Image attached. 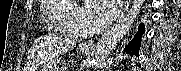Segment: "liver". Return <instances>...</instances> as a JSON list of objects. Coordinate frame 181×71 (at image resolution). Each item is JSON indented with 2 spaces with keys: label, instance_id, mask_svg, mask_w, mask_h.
<instances>
[{
  "label": "liver",
  "instance_id": "6515ba94",
  "mask_svg": "<svg viewBox=\"0 0 181 71\" xmlns=\"http://www.w3.org/2000/svg\"><path fill=\"white\" fill-rule=\"evenodd\" d=\"M74 46L75 41L67 37L51 34L41 37L30 50V54L27 57L28 61L25 65V71H35L41 61L55 58L59 54L73 49ZM37 51L38 54L36 55Z\"/></svg>",
  "mask_w": 181,
  "mask_h": 71
}]
</instances>
